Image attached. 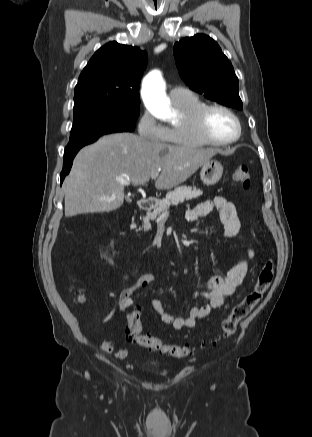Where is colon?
I'll return each mask as SVG.
<instances>
[{"label": "colon", "mask_w": 312, "mask_h": 437, "mask_svg": "<svg viewBox=\"0 0 312 437\" xmlns=\"http://www.w3.org/2000/svg\"><path fill=\"white\" fill-rule=\"evenodd\" d=\"M233 180L241 185L244 189L250 187V173L245 165L238 166L233 171ZM274 275V263L272 259H267L261 267L257 280L253 289L237 303L230 314L223 320L220 334L209 344H215L221 339L231 336L240 321L246 318L251 311L258 305L264 292L270 286ZM128 332L130 340L138 345L161 354H167L172 357H185L192 351V347L188 345H172L163 342L162 340L144 334L142 332V317L139 310H133L127 315ZM202 344L201 347H204Z\"/></svg>", "instance_id": "5ec220e1"}]
</instances>
